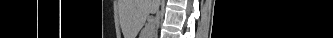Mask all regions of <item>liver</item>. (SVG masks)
<instances>
[{"instance_id":"6515ba94","label":"liver","mask_w":333,"mask_h":38,"mask_svg":"<svg viewBox=\"0 0 333 38\" xmlns=\"http://www.w3.org/2000/svg\"><path fill=\"white\" fill-rule=\"evenodd\" d=\"M159 0H122L121 11L133 10L135 26L140 29L146 21L149 13L157 12Z\"/></svg>"}]
</instances>
